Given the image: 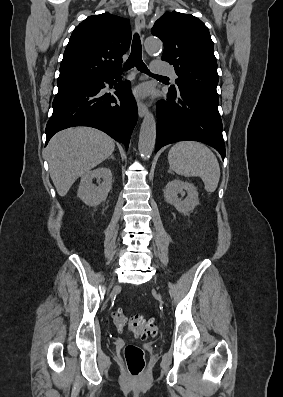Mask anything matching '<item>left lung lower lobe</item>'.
Segmentation results:
<instances>
[{
	"label": "left lung lower lobe",
	"mask_w": 283,
	"mask_h": 397,
	"mask_svg": "<svg viewBox=\"0 0 283 397\" xmlns=\"http://www.w3.org/2000/svg\"><path fill=\"white\" fill-rule=\"evenodd\" d=\"M185 140L203 142L225 157L218 98L191 89H170L167 101L158 103L155 152Z\"/></svg>",
	"instance_id": "0a47b994"
}]
</instances>
